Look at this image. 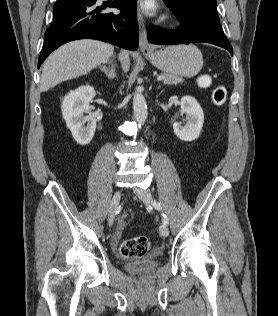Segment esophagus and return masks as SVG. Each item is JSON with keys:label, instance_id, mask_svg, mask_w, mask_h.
I'll return each mask as SVG.
<instances>
[{"label": "esophagus", "instance_id": "1", "mask_svg": "<svg viewBox=\"0 0 278 316\" xmlns=\"http://www.w3.org/2000/svg\"><path fill=\"white\" fill-rule=\"evenodd\" d=\"M143 10V0H138L137 2V21H138V28H139V48L140 51L144 55H149L152 53V47L147 40V31L146 25L144 21V17L142 14Z\"/></svg>", "mask_w": 278, "mask_h": 316}]
</instances>
